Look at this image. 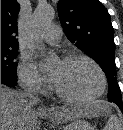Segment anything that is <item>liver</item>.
<instances>
[{"instance_id":"1","label":"liver","mask_w":123,"mask_h":130,"mask_svg":"<svg viewBox=\"0 0 123 130\" xmlns=\"http://www.w3.org/2000/svg\"><path fill=\"white\" fill-rule=\"evenodd\" d=\"M98 104L33 109L25 94L1 84V130H39L38 118L61 124L97 114Z\"/></svg>"}]
</instances>
